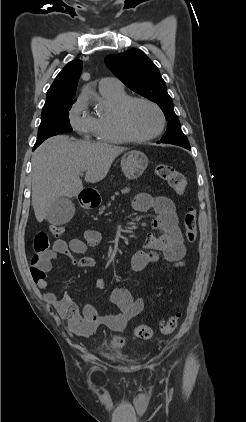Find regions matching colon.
I'll list each match as a JSON object with an SVG mask.
<instances>
[{
    "label": "colon",
    "instance_id": "obj_1",
    "mask_svg": "<svg viewBox=\"0 0 246 422\" xmlns=\"http://www.w3.org/2000/svg\"><path fill=\"white\" fill-rule=\"evenodd\" d=\"M156 175L168 183L178 194L184 192L186 188L185 177L174 167L168 164H157L155 166ZM183 225L185 237L188 242L193 243L197 238V213L193 207H189L183 217ZM63 225L53 224L49 227V233L53 236H60L64 233ZM34 255L31 259L30 273L34 280L41 279L45 276V272L41 267L43 258L50 250L48 233L40 231L34 238ZM180 264V262H178ZM179 314L172 315L168 319L160 322L159 331L162 334H170L175 331L178 325ZM135 335L143 340H148L153 336V329L148 325H138L135 328Z\"/></svg>",
    "mask_w": 246,
    "mask_h": 422
}]
</instances>
